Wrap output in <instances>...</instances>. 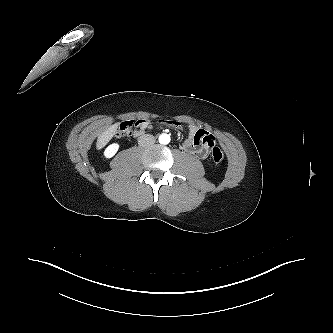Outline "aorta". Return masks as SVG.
I'll list each match as a JSON object with an SVG mask.
<instances>
[{
	"label": "aorta",
	"instance_id": "1",
	"mask_svg": "<svg viewBox=\"0 0 333 333\" xmlns=\"http://www.w3.org/2000/svg\"><path fill=\"white\" fill-rule=\"evenodd\" d=\"M170 140H171L170 135H168V134L164 133L159 136V143H161V144H164V145L169 144Z\"/></svg>",
	"mask_w": 333,
	"mask_h": 333
}]
</instances>
